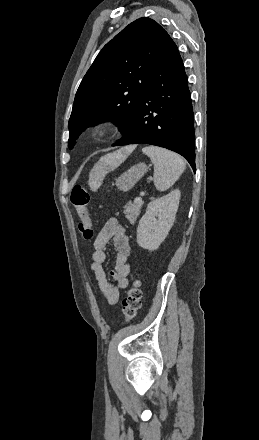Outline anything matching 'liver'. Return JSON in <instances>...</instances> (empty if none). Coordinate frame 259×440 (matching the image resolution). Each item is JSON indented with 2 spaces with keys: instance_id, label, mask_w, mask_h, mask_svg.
Listing matches in <instances>:
<instances>
[{
  "instance_id": "liver-1",
  "label": "liver",
  "mask_w": 259,
  "mask_h": 440,
  "mask_svg": "<svg viewBox=\"0 0 259 440\" xmlns=\"http://www.w3.org/2000/svg\"><path fill=\"white\" fill-rule=\"evenodd\" d=\"M134 148L135 146L124 147L113 153L103 156L95 165L91 173L94 187H98L101 184L108 171H112L120 166L128 155L134 150Z\"/></svg>"
}]
</instances>
